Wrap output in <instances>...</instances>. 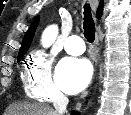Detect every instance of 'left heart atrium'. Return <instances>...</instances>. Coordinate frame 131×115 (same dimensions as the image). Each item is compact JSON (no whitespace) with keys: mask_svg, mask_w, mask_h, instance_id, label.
<instances>
[{"mask_svg":"<svg viewBox=\"0 0 131 115\" xmlns=\"http://www.w3.org/2000/svg\"><path fill=\"white\" fill-rule=\"evenodd\" d=\"M92 75L90 63L83 58L66 57L60 61L56 70V83L68 94L83 90Z\"/></svg>","mask_w":131,"mask_h":115,"instance_id":"1","label":"left heart atrium"}]
</instances>
